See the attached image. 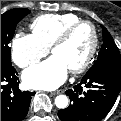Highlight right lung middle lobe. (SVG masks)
<instances>
[{
  "label": "right lung middle lobe",
  "instance_id": "dd1d6c3e",
  "mask_svg": "<svg viewBox=\"0 0 121 121\" xmlns=\"http://www.w3.org/2000/svg\"><path fill=\"white\" fill-rule=\"evenodd\" d=\"M29 13L26 8H16L1 14V66H12L9 43L16 25Z\"/></svg>",
  "mask_w": 121,
  "mask_h": 121
}]
</instances>
